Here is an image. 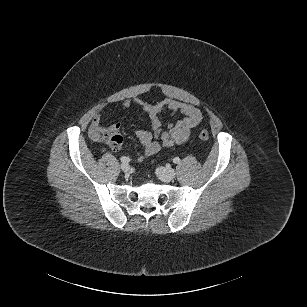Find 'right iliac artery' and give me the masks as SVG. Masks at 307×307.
<instances>
[{
  "mask_svg": "<svg viewBox=\"0 0 307 307\" xmlns=\"http://www.w3.org/2000/svg\"><path fill=\"white\" fill-rule=\"evenodd\" d=\"M120 160L123 163H128L130 161V159L128 157H125V156L121 157Z\"/></svg>",
  "mask_w": 307,
  "mask_h": 307,
  "instance_id": "1",
  "label": "right iliac artery"
}]
</instances>
